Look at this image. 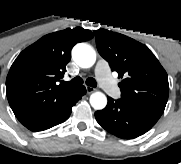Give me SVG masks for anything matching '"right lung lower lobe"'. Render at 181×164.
<instances>
[{"instance_id":"obj_1","label":"right lung lower lobe","mask_w":181,"mask_h":164,"mask_svg":"<svg viewBox=\"0 0 181 164\" xmlns=\"http://www.w3.org/2000/svg\"><path fill=\"white\" fill-rule=\"evenodd\" d=\"M86 94L84 86L76 87L54 104L43 108H24L13 111L17 119L31 131H42L66 121L72 107Z\"/></svg>"}]
</instances>
